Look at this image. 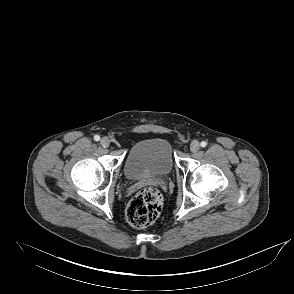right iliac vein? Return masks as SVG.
<instances>
[{
    "instance_id": "right-iliac-vein-1",
    "label": "right iliac vein",
    "mask_w": 294,
    "mask_h": 294,
    "mask_svg": "<svg viewBox=\"0 0 294 294\" xmlns=\"http://www.w3.org/2000/svg\"><path fill=\"white\" fill-rule=\"evenodd\" d=\"M100 144L102 145V147L107 148L110 145V140L107 137H103L100 140Z\"/></svg>"
}]
</instances>
